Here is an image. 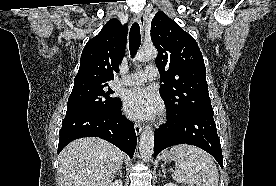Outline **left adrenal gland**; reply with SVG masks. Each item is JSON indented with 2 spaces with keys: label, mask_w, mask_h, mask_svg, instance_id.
I'll return each instance as SVG.
<instances>
[{
  "label": "left adrenal gland",
  "mask_w": 276,
  "mask_h": 186,
  "mask_svg": "<svg viewBox=\"0 0 276 186\" xmlns=\"http://www.w3.org/2000/svg\"><path fill=\"white\" fill-rule=\"evenodd\" d=\"M163 173H164V175L163 176H165V171L163 170ZM162 175H161V172L159 173V177H161Z\"/></svg>",
  "instance_id": "obj_1"
}]
</instances>
